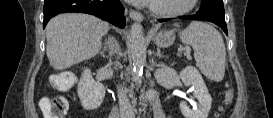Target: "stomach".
Returning <instances> with one entry per match:
<instances>
[{"mask_svg": "<svg viewBox=\"0 0 273 118\" xmlns=\"http://www.w3.org/2000/svg\"><path fill=\"white\" fill-rule=\"evenodd\" d=\"M175 35L172 31H161L154 37V41L159 47H168L173 44Z\"/></svg>", "mask_w": 273, "mask_h": 118, "instance_id": "1", "label": "stomach"}]
</instances>
